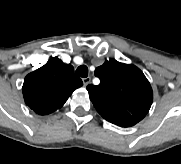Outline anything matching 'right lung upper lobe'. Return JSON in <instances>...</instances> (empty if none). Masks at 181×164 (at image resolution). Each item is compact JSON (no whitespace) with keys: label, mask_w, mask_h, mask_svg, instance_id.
<instances>
[{"label":"right lung upper lobe","mask_w":181,"mask_h":164,"mask_svg":"<svg viewBox=\"0 0 181 164\" xmlns=\"http://www.w3.org/2000/svg\"><path fill=\"white\" fill-rule=\"evenodd\" d=\"M82 85L72 65L53 57L25 77L22 91L26 105L39 115H47L61 108Z\"/></svg>","instance_id":"cb5924a9"}]
</instances>
